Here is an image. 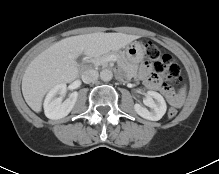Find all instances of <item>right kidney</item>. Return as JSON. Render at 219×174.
<instances>
[{
	"label": "right kidney",
	"mask_w": 219,
	"mask_h": 174,
	"mask_svg": "<svg viewBox=\"0 0 219 174\" xmlns=\"http://www.w3.org/2000/svg\"><path fill=\"white\" fill-rule=\"evenodd\" d=\"M66 91V85L59 84L47 93L44 100V112L47 118L57 120L64 118L71 112L77 101L78 93H71L69 98L62 102Z\"/></svg>",
	"instance_id": "ca27d5eb"
}]
</instances>
